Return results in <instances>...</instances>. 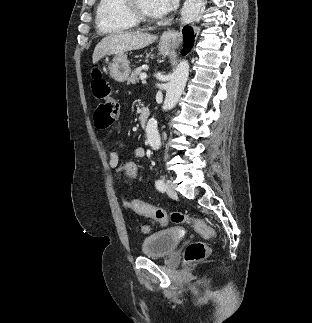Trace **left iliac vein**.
<instances>
[{
	"label": "left iliac vein",
	"mask_w": 312,
	"mask_h": 323,
	"mask_svg": "<svg viewBox=\"0 0 312 323\" xmlns=\"http://www.w3.org/2000/svg\"><path fill=\"white\" fill-rule=\"evenodd\" d=\"M165 190H166L167 194L170 196L176 195V190H175L174 185L171 180H166Z\"/></svg>",
	"instance_id": "1"
}]
</instances>
